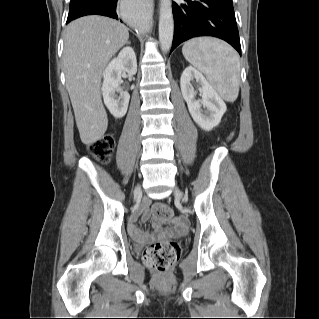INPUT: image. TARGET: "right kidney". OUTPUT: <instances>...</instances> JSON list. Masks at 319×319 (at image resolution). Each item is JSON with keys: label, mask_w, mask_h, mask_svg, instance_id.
<instances>
[{"label": "right kidney", "mask_w": 319, "mask_h": 319, "mask_svg": "<svg viewBox=\"0 0 319 319\" xmlns=\"http://www.w3.org/2000/svg\"><path fill=\"white\" fill-rule=\"evenodd\" d=\"M135 75L137 60L131 47H124L103 73L102 95L104 103L115 118H122L128 109L130 95L120 88L121 74ZM116 93H120L118 96Z\"/></svg>", "instance_id": "right-kidney-1"}]
</instances>
